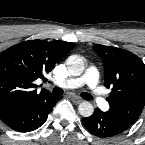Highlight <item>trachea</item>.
<instances>
[{
  "label": "trachea",
  "instance_id": "3493384b",
  "mask_svg": "<svg viewBox=\"0 0 145 145\" xmlns=\"http://www.w3.org/2000/svg\"><path fill=\"white\" fill-rule=\"evenodd\" d=\"M63 90L61 88H58V87H54L53 90H52V93L54 95H62L63 94ZM81 96L86 99V100H91L92 99V96L89 94V93H81Z\"/></svg>",
  "mask_w": 145,
  "mask_h": 145
}]
</instances>
